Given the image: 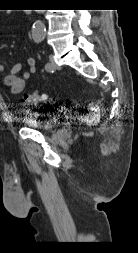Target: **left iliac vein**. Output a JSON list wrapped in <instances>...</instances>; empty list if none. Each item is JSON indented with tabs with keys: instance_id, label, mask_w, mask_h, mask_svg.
I'll return each instance as SVG.
<instances>
[{
	"instance_id": "obj_1",
	"label": "left iliac vein",
	"mask_w": 138,
	"mask_h": 253,
	"mask_svg": "<svg viewBox=\"0 0 138 253\" xmlns=\"http://www.w3.org/2000/svg\"><path fill=\"white\" fill-rule=\"evenodd\" d=\"M49 63L51 65V70H57V69H59V66L56 64V62H55V60H54V58H53L52 55H50V57H49Z\"/></svg>"
}]
</instances>
